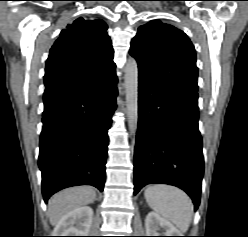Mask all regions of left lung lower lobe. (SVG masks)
I'll use <instances>...</instances> for the list:
<instances>
[{"mask_svg":"<svg viewBox=\"0 0 248 237\" xmlns=\"http://www.w3.org/2000/svg\"><path fill=\"white\" fill-rule=\"evenodd\" d=\"M138 105L134 193L151 183L174 185L196 210L204 170L197 92L165 88L139 75Z\"/></svg>","mask_w":248,"mask_h":237,"instance_id":"1","label":"left lung lower lobe"}]
</instances>
